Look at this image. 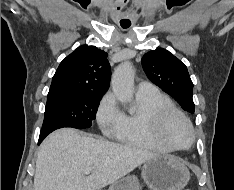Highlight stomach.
<instances>
[{
    "instance_id": "0dacf381",
    "label": "stomach",
    "mask_w": 234,
    "mask_h": 190,
    "mask_svg": "<svg viewBox=\"0 0 234 190\" xmlns=\"http://www.w3.org/2000/svg\"><path fill=\"white\" fill-rule=\"evenodd\" d=\"M142 178L150 190H182L190 179V172L178 158L158 155L146 161ZM108 190H140L135 176H126L113 183Z\"/></svg>"
}]
</instances>
